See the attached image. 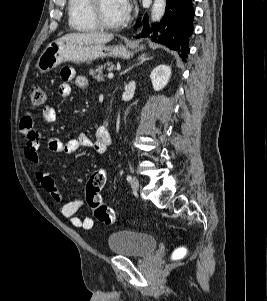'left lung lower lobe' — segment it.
I'll return each instance as SVG.
<instances>
[{
    "label": "left lung lower lobe",
    "instance_id": "left-lung-lower-lobe-1",
    "mask_svg": "<svg viewBox=\"0 0 267 301\" xmlns=\"http://www.w3.org/2000/svg\"><path fill=\"white\" fill-rule=\"evenodd\" d=\"M166 2V12L162 20L150 27L145 16L143 22L136 25L143 26V29L135 38H150L154 42L164 44L180 53L185 61L190 50L188 37L193 32L192 0H166Z\"/></svg>",
    "mask_w": 267,
    "mask_h": 301
}]
</instances>
